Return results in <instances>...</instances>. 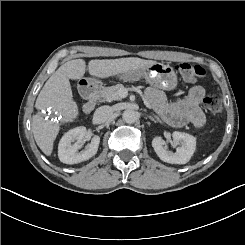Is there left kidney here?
Wrapping results in <instances>:
<instances>
[{
	"label": "left kidney",
	"instance_id": "left-kidney-1",
	"mask_svg": "<svg viewBox=\"0 0 245 245\" xmlns=\"http://www.w3.org/2000/svg\"><path fill=\"white\" fill-rule=\"evenodd\" d=\"M172 137L176 143L178 142L181 145L177 147L175 153L167 149L166 142L162 137H155L152 140V147L162 161L171 164H186L195 152L196 138L190 134L178 131L173 132Z\"/></svg>",
	"mask_w": 245,
	"mask_h": 245
}]
</instances>
